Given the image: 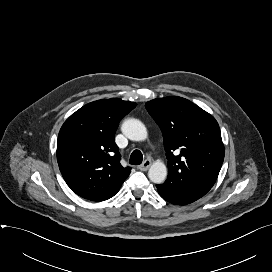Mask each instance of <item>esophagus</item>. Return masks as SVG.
<instances>
[{"label":"esophagus","mask_w":272,"mask_h":272,"mask_svg":"<svg viewBox=\"0 0 272 272\" xmlns=\"http://www.w3.org/2000/svg\"><path fill=\"white\" fill-rule=\"evenodd\" d=\"M150 166H151V161L147 159L141 165L138 166V169L141 171H147Z\"/></svg>","instance_id":"34e87169"}]
</instances>
